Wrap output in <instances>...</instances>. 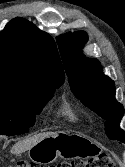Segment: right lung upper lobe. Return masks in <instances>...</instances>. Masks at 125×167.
<instances>
[{
  "mask_svg": "<svg viewBox=\"0 0 125 167\" xmlns=\"http://www.w3.org/2000/svg\"><path fill=\"white\" fill-rule=\"evenodd\" d=\"M65 75L49 34L24 18L0 32V92L33 95L61 86Z\"/></svg>",
  "mask_w": 125,
  "mask_h": 167,
  "instance_id": "1",
  "label": "right lung upper lobe"
}]
</instances>
